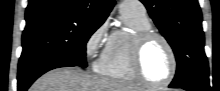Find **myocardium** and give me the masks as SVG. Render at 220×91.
I'll return each instance as SVG.
<instances>
[{
	"label": "myocardium",
	"instance_id": "f54148a6",
	"mask_svg": "<svg viewBox=\"0 0 220 91\" xmlns=\"http://www.w3.org/2000/svg\"><path fill=\"white\" fill-rule=\"evenodd\" d=\"M159 40L167 48L171 59V70L168 77L162 82H154L149 80L142 70V55L145 47L151 41ZM130 65L137 80L147 87L161 88L169 85L175 78L177 73V57L171 43L161 34L148 31L136 35L130 47Z\"/></svg>",
	"mask_w": 220,
	"mask_h": 91
}]
</instances>
